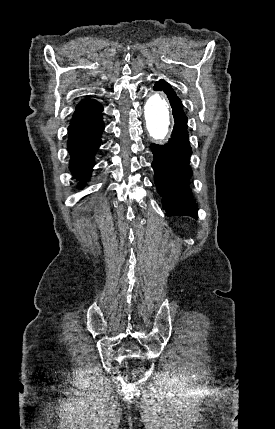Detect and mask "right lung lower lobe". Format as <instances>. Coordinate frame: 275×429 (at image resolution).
<instances>
[{
  "label": "right lung lower lobe",
  "mask_w": 275,
  "mask_h": 429,
  "mask_svg": "<svg viewBox=\"0 0 275 429\" xmlns=\"http://www.w3.org/2000/svg\"><path fill=\"white\" fill-rule=\"evenodd\" d=\"M103 108L85 119L70 123L68 151L71 156L70 170L79 180H88L94 166V155L101 144L104 130Z\"/></svg>",
  "instance_id": "right-lung-lower-lobe-1"
}]
</instances>
